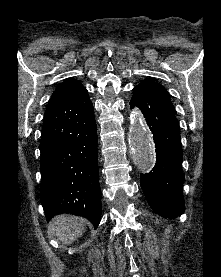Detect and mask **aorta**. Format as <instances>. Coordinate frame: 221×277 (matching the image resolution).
<instances>
[{"mask_svg":"<svg viewBox=\"0 0 221 277\" xmlns=\"http://www.w3.org/2000/svg\"><path fill=\"white\" fill-rule=\"evenodd\" d=\"M128 140L131 155L138 168L143 171L150 170L155 163V147L151 132L137 110L131 114Z\"/></svg>","mask_w":221,"mask_h":277,"instance_id":"762f6f07","label":"aorta"}]
</instances>
